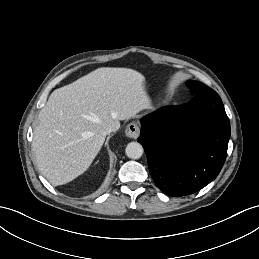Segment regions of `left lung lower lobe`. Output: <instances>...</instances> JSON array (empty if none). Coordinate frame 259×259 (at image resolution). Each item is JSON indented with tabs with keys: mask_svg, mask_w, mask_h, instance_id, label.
I'll return each mask as SVG.
<instances>
[{
	"mask_svg": "<svg viewBox=\"0 0 259 259\" xmlns=\"http://www.w3.org/2000/svg\"><path fill=\"white\" fill-rule=\"evenodd\" d=\"M229 138V118L212 90L190 103L164 107L142 118L138 141L156 185L165 194L180 197L201 190L217 177Z\"/></svg>",
	"mask_w": 259,
	"mask_h": 259,
	"instance_id": "1",
	"label": "left lung lower lobe"
}]
</instances>
